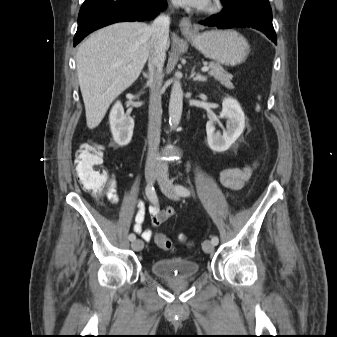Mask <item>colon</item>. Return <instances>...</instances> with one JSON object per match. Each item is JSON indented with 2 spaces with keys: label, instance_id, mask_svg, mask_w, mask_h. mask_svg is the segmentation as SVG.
I'll return each instance as SVG.
<instances>
[{
  "label": "colon",
  "instance_id": "colon-1",
  "mask_svg": "<svg viewBox=\"0 0 337 337\" xmlns=\"http://www.w3.org/2000/svg\"><path fill=\"white\" fill-rule=\"evenodd\" d=\"M103 163V147L99 144L84 143L76 152L75 170L84 189L96 196H102L110 184L108 173L100 168ZM181 242H186L184 235H180ZM157 246L166 251L173 249L172 241L164 234H154Z\"/></svg>",
  "mask_w": 337,
  "mask_h": 337
}]
</instances>
